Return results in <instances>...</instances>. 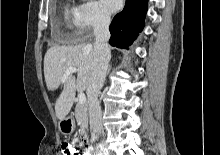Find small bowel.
I'll return each mask as SVG.
<instances>
[{
	"label": "small bowel",
	"mask_w": 220,
	"mask_h": 155,
	"mask_svg": "<svg viewBox=\"0 0 220 155\" xmlns=\"http://www.w3.org/2000/svg\"><path fill=\"white\" fill-rule=\"evenodd\" d=\"M77 140V145H88V140H86V136H77L76 137ZM76 140L72 139V140H64V145H76Z\"/></svg>",
	"instance_id": "obj_1"
}]
</instances>
